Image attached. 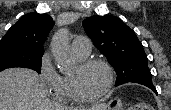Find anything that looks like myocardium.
<instances>
[{"instance_id":"f54148a6","label":"myocardium","mask_w":171,"mask_h":110,"mask_svg":"<svg viewBox=\"0 0 171 110\" xmlns=\"http://www.w3.org/2000/svg\"><path fill=\"white\" fill-rule=\"evenodd\" d=\"M93 65H101L106 69V71L108 73L107 85L101 93L94 95V96H87L80 91L76 81L72 77H69V85H70L71 94H72L74 100L77 102L92 103V102L101 100L111 91V89L114 85V81H115L114 70H113L112 66L107 61H105L103 59H96V58L84 59L79 62L78 69L80 71H82V70H85Z\"/></svg>"}]
</instances>
